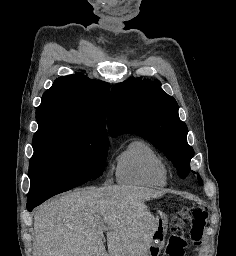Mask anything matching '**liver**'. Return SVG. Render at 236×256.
<instances>
[{"mask_svg":"<svg viewBox=\"0 0 236 256\" xmlns=\"http://www.w3.org/2000/svg\"><path fill=\"white\" fill-rule=\"evenodd\" d=\"M158 196L150 188L104 186L52 198L35 212L34 246L40 256H146L144 202Z\"/></svg>","mask_w":236,"mask_h":256,"instance_id":"6515ba94","label":"liver"}]
</instances>
